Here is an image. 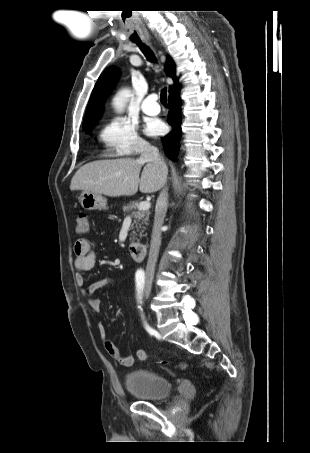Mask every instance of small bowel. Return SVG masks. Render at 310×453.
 <instances>
[{"instance_id":"obj_1","label":"small bowel","mask_w":310,"mask_h":453,"mask_svg":"<svg viewBox=\"0 0 310 453\" xmlns=\"http://www.w3.org/2000/svg\"><path fill=\"white\" fill-rule=\"evenodd\" d=\"M74 270L76 272L75 280L76 284L81 287L82 294L88 298L90 307L99 312L101 310V302L99 299L94 297L96 291L108 287L113 284L114 280L110 277L96 280L89 284L87 287H83L85 284L84 272L91 270L96 262V255L94 252L93 243L87 239L80 238L76 240L74 244ZM99 336L102 340L104 349L116 362L125 367H131L136 360L144 361L147 358V353L144 349H137L135 356H125L121 354L116 345L107 337L106 328L103 323H99L97 326Z\"/></svg>"}]
</instances>
